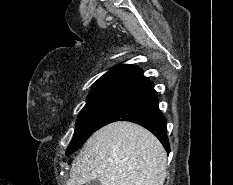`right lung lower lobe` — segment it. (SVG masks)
I'll return each instance as SVG.
<instances>
[{"label":"right lung lower lobe","mask_w":233,"mask_h":185,"mask_svg":"<svg viewBox=\"0 0 233 185\" xmlns=\"http://www.w3.org/2000/svg\"><path fill=\"white\" fill-rule=\"evenodd\" d=\"M115 121H131L151 131L162 143L167 153V121L158 107L153 83L147 81L131 90L100 122L98 129Z\"/></svg>","instance_id":"right-lung-lower-lobe-1"}]
</instances>
